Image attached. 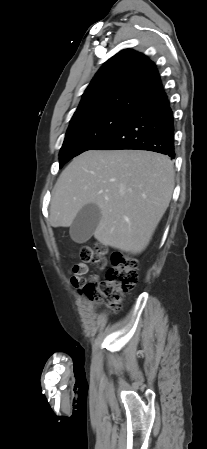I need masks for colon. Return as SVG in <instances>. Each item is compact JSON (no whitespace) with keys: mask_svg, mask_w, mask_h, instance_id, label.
<instances>
[{"mask_svg":"<svg viewBox=\"0 0 207 449\" xmlns=\"http://www.w3.org/2000/svg\"><path fill=\"white\" fill-rule=\"evenodd\" d=\"M78 256L83 263L95 264L98 271L105 272V279L100 282H86L81 292L91 300L108 307L112 312L120 308L122 295L132 291L138 282V262L135 258L114 253L111 267L107 268V250L101 244L82 245Z\"/></svg>","mask_w":207,"mask_h":449,"instance_id":"obj_1","label":"colon"}]
</instances>
